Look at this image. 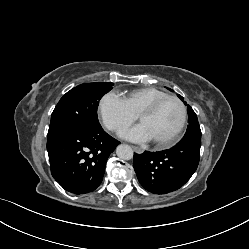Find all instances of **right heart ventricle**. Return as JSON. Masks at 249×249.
<instances>
[{
  "label": "right heart ventricle",
  "instance_id": "e07e8e85",
  "mask_svg": "<svg viewBox=\"0 0 249 249\" xmlns=\"http://www.w3.org/2000/svg\"><path fill=\"white\" fill-rule=\"evenodd\" d=\"M167 95V93L159 89L146 87L125 92L122 95V100L125 102L129 110L136 115L149 103Z\"/></svg>",
  "mask_w": 249,
  "mask_h": 249
}]
</instances>
